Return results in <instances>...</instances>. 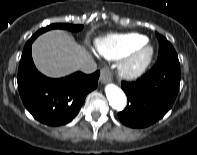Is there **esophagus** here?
<instances>
[{
	"instance_id": "34e87169",
	"label": "esophagus",
	"mask_w": 197,
	"mask_h": 155,
	"mask_svg": "<svg viewBox=\"0 0 197 155\" xmlns=\"http://www.w3.org/2000/svg\"><path fill=\"white\" fill-rule=\"evenodd\" d=\"M112 80V74L107 68H102L100 72V82L105 84Z\"/></svg>"
}]
</instances>
